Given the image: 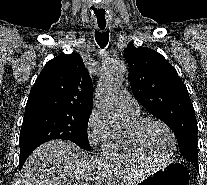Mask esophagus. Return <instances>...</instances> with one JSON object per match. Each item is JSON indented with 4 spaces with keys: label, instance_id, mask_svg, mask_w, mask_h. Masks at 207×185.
<instances>
[{
    "label": "esophagus",
    "instance_id": "1",
    "mask_svg": "<svg viewBox=\"0 0 207 185\" xmlns=\"http://www.w3.org/2000/svg\"><path fill=\"white\" fill-rule=\"evenodd\" d=\"M95 14H106L107 10L106 9H95L94 10ZM94 19L97 20L96 26L100 30H105L108 26V22L106 21L107 16L106 15H95Z\"/></svg>",
    "mask_w": 207,
    "mask_h": 185
}]
</instances>
